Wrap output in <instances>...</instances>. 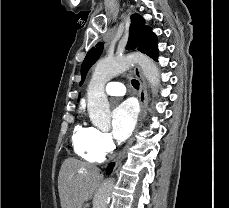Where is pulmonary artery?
<instances>
[{
    "mask_svg": "<svg viewBox=\"0 0 229 208\" xmlns=\"http://www.w3.org/2000/svg\"><path fill=\"white\" fill-rule=\"evenodd\" d=\"M114 77H111L113 79ZM104 91L111 96H122L125 94V85L122 81H108Z\"/></svg>",
    "mask_w": 229,
    "mask_h": 208,
    "instance_id": "e3ab8cb5",
    "label": "pulmonary artery"
}]
</instances>
